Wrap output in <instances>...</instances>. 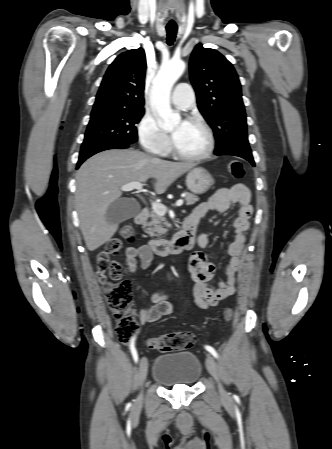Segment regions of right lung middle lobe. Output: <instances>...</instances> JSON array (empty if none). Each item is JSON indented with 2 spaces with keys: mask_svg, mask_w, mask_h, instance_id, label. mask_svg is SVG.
<instances>
[{
  "mask_svg": "<svg viewBox=\"0 0 332 449\" xmlns=\"http://www.w3.org/2000/svg\"><path fill=\"white\" fill-rule=\"evenodd\" d=\"M144 110H116L91 114L81 150L103 143L133 144Z\"/></svg>",
  "mask_w": 332,
  "mask_h": 449,
  "instance_id": "dd1d6c3e",
  "label": "right lung middle lobe"
}]
</instances>
